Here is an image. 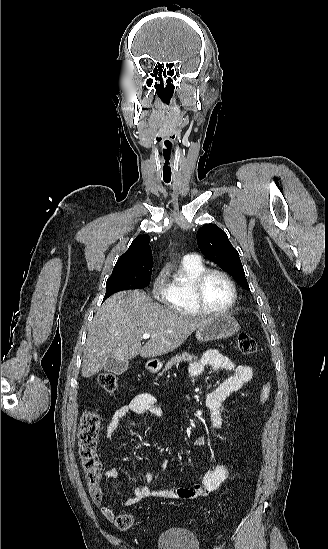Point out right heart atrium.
Instances as JSON below:
<instances>
[{"label":"right heart atrium","instance_id":"1","mask_svg":"<svg viewBox=\"0 0 328 549\" xmlns=\"http://www.w3.org/2000/svg\"><path fill=\"white\" fill-rule=\"evenodd\" d=\"M167 271L165 267H159L154 270L150 280L151 303H159L167 283Z\"/></svg>","mask_w":328,"mask_h":549}]
</instances>
